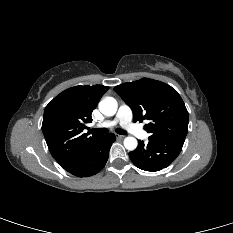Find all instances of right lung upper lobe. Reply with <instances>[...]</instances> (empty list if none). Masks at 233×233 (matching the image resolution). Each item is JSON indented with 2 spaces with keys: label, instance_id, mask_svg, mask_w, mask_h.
I'll return each mask as SVG.
<instances>
[{
  "label": "right lung upper lobe",
  "instance_id": "obj_1",
  "mask_svg": "<svg viewBox=\"0 0 233 233\" xmlns=\"http://www.w3.org/2000/svg\"><path fill=\"white\" fill-rule=\"evenodd\" d=\"M108 89L103 85L71 87L46 106L42 131L52 156L63 168L101 137L83 130L92 122V111Z\"/></svg>",
  "mask_w": 233,
  "mask_h": 233
}]
</instances>
